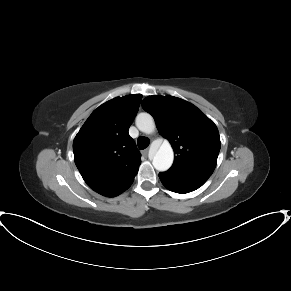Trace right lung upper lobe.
Instances as JSON below:
<instances>
[{
	"label": "right lung upper lobe",
	"instance_id": "cb5924a9",
	"mask_svg": "<svg viewBox=\"0 0 291 291\" xmlns=\"http://www.w3.org/2000/svg\"><path fill=\"white\" fill-rule=\"evenodd\" d=\"M142 95L116 97L99 106L73 141L75 164L88 186L114 197L130 187L141 155L128 130Z\"/></svg>",
	"mask_w": 291,
	"mask_h": 291
}]
</instances>
